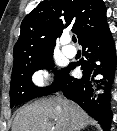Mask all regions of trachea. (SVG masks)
I'll return each mask as SVG.
<instances>
[{
	"label": "trachea",
	"instance_id": "1",
	"mask_svg": "<svg viewBox=\"0 0 117 131\" xmlns=\"http://www.w3.org/2000/svg\"><path fill=\"white\" fill-rule=\"evenodd\" d=\"M72 41L76 43L77 39L75 36L72 37Z\"/></svg>",
	"mask_w": 117,
	"mask_h": 131
}]
</instances>
